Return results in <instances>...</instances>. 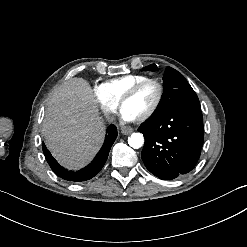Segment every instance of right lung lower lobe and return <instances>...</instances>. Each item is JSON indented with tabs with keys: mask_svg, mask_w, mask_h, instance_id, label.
Instances as JSON below:
<instances>
[{
	"mask_svg": "<svg viewBox=\"0 0 247 247\" xmlns=\"http://www.w3.org/2000/svg\"><path fill=\"white\" fill-rule=\"evenodd\" d=\"M116 137L117 128L114 125H110L107 128V135L105 137L104 144L99 153L96 155L95 159L88 166L76 172L68 171L60 166L58 162L52 157L44 143H42V148L49 166L56 175L67 181L81 182L93 178L102 169Z\"/></svg>",
	"mask_w": 247,
	"mask_h": 247,
	"instance_id": "right-lung-lower-lobe-1",
	"label": "right lung lower lobe"
}]
</instances>
